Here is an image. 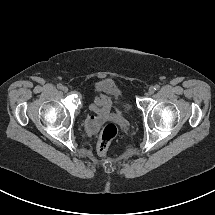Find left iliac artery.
<instances>
[{
    "mask_svg": "<svg viewBox=\"0 0 215 215\" xmlns=\"http://www.w3.org/2000/svg\"><path fill=\"white\" fill-rule=\"evenodd\" d=\"M159 88H160V86H159L158 84H156V85L154 86V89H155V90H159Z\"/></svg>",
    "mask_w": 215,
    "mask_h": 215,
    "instance_id": "1",
    "label": "left iliac artery"
}]
</instances>
